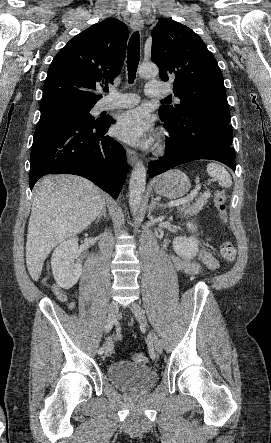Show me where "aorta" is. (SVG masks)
<instances>
[{
  "instance_id": "1",
  "label": "aorta",
  "mask_w": 271,
  "mask_h": 443,
  "mask_svg": "<svg viewBox=\"0 0 271 443\" xmlns=\"http://www.w3.org/2000/svg\"><path fill=\"white\" fill-rule=\"evenodd\" d=\"M138 74L141 78H156L159 76V68L156 64H141L138 68ZM146 186V168L143 162H136L129 182V206L132 216H137L140 212L143 194Z\"/></svg>"
}]
</instances>
